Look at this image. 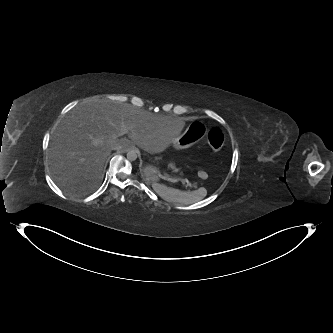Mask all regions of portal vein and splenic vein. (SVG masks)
<instances>
[{
	"mask_svg": "<svg viewBox=\"0 0 333 333\" xmlns=\"http://www.w3.org/2000/svg\"><path fill=\"white\" fill-rule=\"evenodd\" d=\"M129 130H130L129 127H127V126H125V125H122V126L118 129V132H117L116 134H114L113 136H114L115 138L120 137V136H123V135H125V134H128Z\"/></svg>",
	"mask_w": 333,
	"mask_h": 333,
	"instance_id": "portal-vein-and-splenic-vein-1",
	"label": "portal vein and splenic vein"
}]
</instances>
